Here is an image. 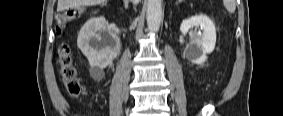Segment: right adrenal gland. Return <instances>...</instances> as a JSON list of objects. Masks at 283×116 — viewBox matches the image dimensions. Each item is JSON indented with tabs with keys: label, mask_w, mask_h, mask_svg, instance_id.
<instances>
[{
	"label": "right adrenal gland",
	"mask_w": 283,
	"mask_h": 116,
	"mask_svg": "<svg viewBox=\"0 0 283 116\" xmlns=\"http://www.w3.org/2000/svg\"><path fill=\"white\" fill-rule=\"evenodd\" d=\"M128 2H129L128 0H123L125 9H128V6H129Z\"/></svg>",
	"instance_id": "right-adrenal-gland-1"
}]
</instances>
